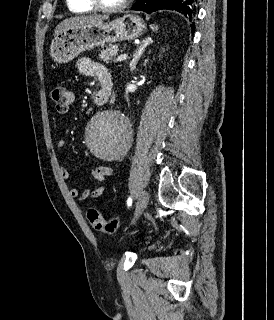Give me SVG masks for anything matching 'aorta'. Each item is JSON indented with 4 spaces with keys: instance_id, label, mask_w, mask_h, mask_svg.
<instances>
[{
    "instance_id": "762f6f07",
    "label": "aorta",
    "mask_w": 274,
    "mask_h": 320,
    "mask_svg": "<svg viewBox=\"0 0 274 320\" xmlns=\"http://www.w3.org/2000/svg\"><path fill=\"white\" fill-rule=\"evenodd\" d=\"M131 141V124L120 111L105 110L96 113L85 134L87 148L97 158L118 159Z\"/></svg>"
}]
</instances>
